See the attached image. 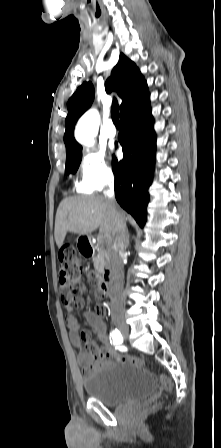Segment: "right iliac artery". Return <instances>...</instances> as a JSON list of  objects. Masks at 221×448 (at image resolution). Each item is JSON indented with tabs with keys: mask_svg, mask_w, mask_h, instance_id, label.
I'll return each instance as SVG.
<instances>
[{
	"mask_svg": "<svg viewBox=\"0 0 221 448\" xmlns=\"http://www.w3.org/2000/svg\"><path fill=\"white\" fill-rule=\"evenodd\" d=\"M110 342L113 343L114 345H120L123 342V337L117 329L111 332Z\"/></svg>",
	"mask_w": 221,
	"mask_h": 448,
	"instance_id": "right-iliac-artery-1",
	"label": "right iliac artery"
}]
</instances>
